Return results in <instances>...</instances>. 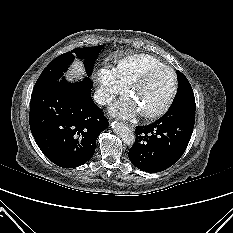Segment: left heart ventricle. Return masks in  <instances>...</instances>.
<instances>
[{
  "mask_svg": "<svg viewBox=\"0 0 233 233\" xmlns=\"http://www.w3.org/2000/svg\"><path fill=\"white\" fill-rule=\"evenodd\" d=\"M172 75L165 70L151 74L133 92L139 111H151L159 107L166 99L172 86Z\"/></svg>",
  "mask_w": 233,
  "mask_h": 233,
  "instance_id": "b2bd125f",
  "label": "left heart ventricle"
}]
</instances>
